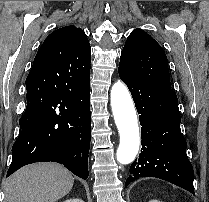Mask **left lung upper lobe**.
<instances>
[{
	"label": "left lung upper lobe",
	"instance_id": "left-lung-upper-lobe-1",
	"mask_svg": "<svg viewBox=\"0 0 209 202\" xmlns=\"http://www.w3.org/2000/svg\"><path fill=\"white\" fill-rule=\"evenodd\" d=\"M118 71L171 89L168 60L164 50L156 40L139 28L127 38Z\"/></svg>",
	"mask_w": 209,
	"mask_h": 202
}]
</instances>
